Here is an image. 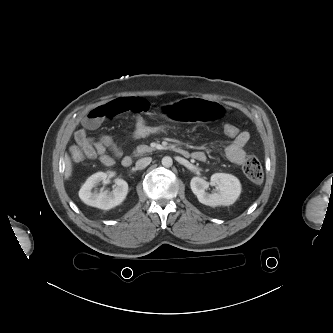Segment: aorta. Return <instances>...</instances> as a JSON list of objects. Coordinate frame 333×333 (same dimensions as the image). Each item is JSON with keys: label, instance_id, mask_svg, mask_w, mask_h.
Here are the masks:
<instances>
[{"label": "aorta", "instance_id": "1", "mask_svg": "<svg viewBox=\"0 0 333 333\" xmlns=\"http://www.w3.org/2000/svg\"><path fill=\"white\" fill-rule=\"evenodd\" d=\"M173 164V160L170 156H165L162 158V165L166 168L171 167Z\"/></svg>", "mask_w": 333, "mask_h": 333}]
</instances>
